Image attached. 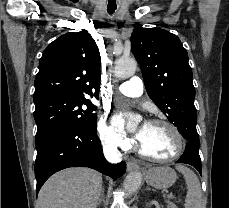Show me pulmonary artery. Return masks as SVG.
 <instances>
[{"label":"pulmonary artery","mask_w":229,"mask_h":208,"mask_svg":"<svg viewBox=\"0 0 229 208\" xmlns=\"http://www.w3.org/2000/svg\"><path fill=\"white\" fill-rule=\"evenodd\" d=\"M119 77V76H118ZM121 79H126L122 84L117 88L118 91L129 97H139L142 95L144 90L143 80L135 75H130L129 77H119Z\"/></svg>","instance_id":"e3ab8cb5"}]
</instances>
